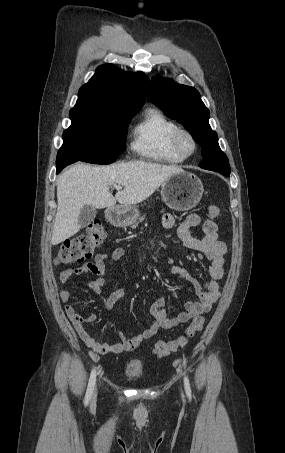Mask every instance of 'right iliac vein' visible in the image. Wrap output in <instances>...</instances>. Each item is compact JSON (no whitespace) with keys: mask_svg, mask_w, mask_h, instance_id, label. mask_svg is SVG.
I'll return each mask as SVG.
<instances>
[{"mask_svg":"<svg viewBox=\"0 0 285 453\" xmlns=\"http://www.w3.org/2000/svg\"><path fill=\"white\" fill-rule=\"evenodd\" d=\"M96 398H97V388H95L94 393H93V397H92L93 404L96 402Z\"/></svg>","mask_w":285,"mask_h":453,"instance_id":"63e3f726","label":"right iliac vein"}]
</instances>
